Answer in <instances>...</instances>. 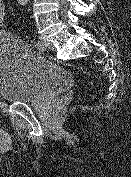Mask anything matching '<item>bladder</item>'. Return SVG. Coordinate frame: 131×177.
Wrapping results in <instances>:
<instances>
[{
    "label": "bladder",
    "instance_id": "31cf9c89",
    "mask_svg": "<svg viewBox=\"0 0 131 177\" xmlns=\"http://www.w3.org/2000/svg\"><path fill=\"white\" fill-rule=\"evenodd\" d=\"M69 71L34 54L17 37L0 34V98L46 105L71 86Z\"/></svg>",
    "mask_w": 131,
    "mask_h": 177
}]
</instances>
